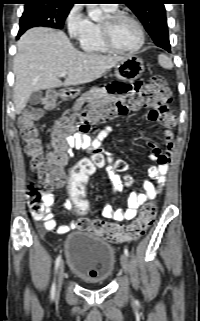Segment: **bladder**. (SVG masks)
Instances as JSON below:
<instances>
[{"instance_id":"31cf9c89","label":"bladder","mask_w":200,"mask_h":321,"mask_svg":"<svg viewBox=\"0 0 200 321\" xmlns=\"http://www.w3.org/2000/svg\"><path fill=\"white\" fill-rule=\"evenodd\" d=\"M66 261L71 272L90 284L108 282L116 267L115 250L103 238L87 232L74 231L64 241Z\"/></svg>"}]
</instances>
